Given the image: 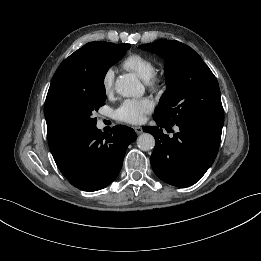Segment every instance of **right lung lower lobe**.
I'll use <instances>...</instances> for the list:
<instances>
[{
	"label": "right lung lower lobe",
	"mask_w": 261,
	"mask_h": 261,
	"mask_svg": "<svg viewBox=\"0 0 261 261\" xmlns=\"http://www.w3.org/2000/svg\"><path fill=\"white\" fill-rule=\"evenodd\" d=\"M136 137L132 128L122 125L115 126L108 135L95 127L53 157L72 185L97 191L116 179L127 147Z\"/></svg>",
	"instance_id": "obj_1"
}]
</instances>
